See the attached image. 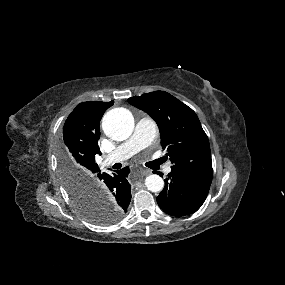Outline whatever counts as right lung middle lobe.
Masks as SVG:
<instances>
[{
    "instance_id": "1",
    "label": "right lung middle lobe",
    "mask_w": 285,
    "mask_h": 285,
    "mask_svg": "<svg viewBox=\"0 0 285 285\" xmlns=\"http://www.w3.org/2000/svg\"><path fill=\"white\" fill-rule=\"evenodd\" d=\"M60 171L64 185L77 211L94 224H112L123 214L88 187V181L70 161L64 149L59 150Z\"/></svg>"
}]
</instances>
